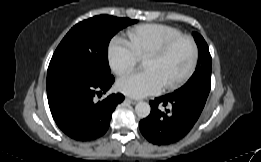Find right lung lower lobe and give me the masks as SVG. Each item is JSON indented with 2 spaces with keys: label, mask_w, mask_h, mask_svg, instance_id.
Returning <instances> with one entry per match:
<instances>
[{
  "label": "right lung lower lobe",
  "mask_w": 261,
  "mask_h": 162,
  "mask_svg": "<svg viewBox=\"0 0 261 162\" xmlns=\"http://www.w3.org/2000/svg\"><path fill=\"white\" fill-rule=\"evenodd\" d=\"M113 82V76L96 81L71 74L47 83L48 103L58 127L78 141L94 140L105 134L111 115L124 96L112 94L99 102H95L94 96L106 92Z\"/></svg>",
  "instance_id": "1"
}]
</instances>
